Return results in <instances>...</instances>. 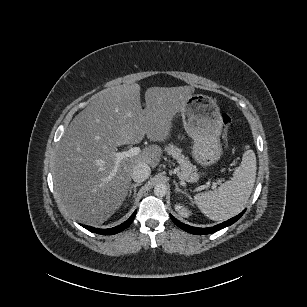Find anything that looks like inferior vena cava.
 <instances>
[{
    "label": "inferior vena cava",
    "mask_w": 307,
    "mask_h": 307,
    "mask_svg": "<svg viewBox=\"0 0 307 307\" xmlns=\"http://www.w3.org/2000/svg\"><path fill=\"white\" fill-rule=\"evenodd\" d=\"M150 167L145 162H138L132 171V178L135 182H143L146 180L150 175Z\"/></svg>",
    "instance_id": "obj_1"
}]
</instances>
